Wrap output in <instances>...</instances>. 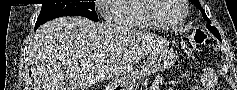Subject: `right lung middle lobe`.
I'll return each mask as SVG.
<instances>
[{"instance_id":"right-lung-middle-lobe-1","label":"right lung middle lobe","mask_w":237,"mask_h":90,"mask_svg":"<svg viewBox=\"0 0 237 90\" xmlns=\"http://www.w3.org/2000/svg\"><path fill=\"white\" fill-rule=\"evenodd\" d=\"M63 16H83L98 21L94 2L42 4L35 28L49 20Z\"/></svg>"}]
</instances>
